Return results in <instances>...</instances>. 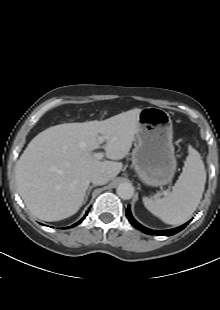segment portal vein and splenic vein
Here are the masks:
<instances>
[{
  "label": "portal vein and splenic vein",
  "mask_w": 220,
  "mask_h": 310,
  "mask_svg": "<svg viewBox=\"0 0 220 310\" xmlns=\"http://www.w3.org/2000/svg\"><path fill=\"white\" fill-rule=\"evenodd\" d=\"M98 140H99L100 143H103L105 139H104V137L99 136V137H98ZM93 157H94L95 159L100 160V159H102V158L104 157V154H103L102 152L94 153V154H93ZM164 194L166 195L167 193H164Z\"/></svg>",
  "instance_id": "18ae733b"
}]
</instances>
